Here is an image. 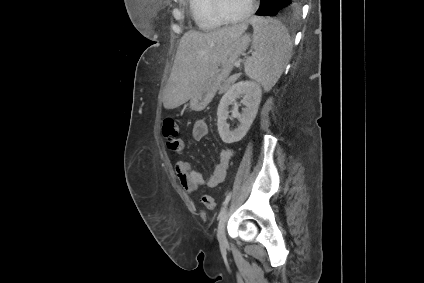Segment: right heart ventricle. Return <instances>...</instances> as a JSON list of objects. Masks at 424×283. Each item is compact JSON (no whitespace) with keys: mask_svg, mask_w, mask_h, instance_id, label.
I'll return each instance as SVG.
<instances>
[{"mask_svg":"<svg viewBox=\"0 0 424 283\" xmlns=\"http://www.w3.org/2000/svg\"><path fill=\"white\" fill-rule=\"evenodd\" d=\"M188 3L191 17L200 30H215L222 26L211 12L210 0H188Z\"/></svg>","mask_w":424,"mask_h":283,"instance_id":"e07e8e85","label":"right heart ventricle"}]
</instances>
